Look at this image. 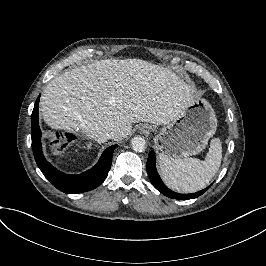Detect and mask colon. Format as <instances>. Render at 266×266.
<instances>
[{
    "label": "colon",
    "instance_id": "obj_1",
    "mask_svg": "<svg viewBox=\"0 0 266 266\" xmlns=\"http://www.w3.org/2000/svg\"><path fill=\"white\" fill-rule=\"evenodd\" d=\"M63 143H64V139L62 135H57L55 137V142L52 143V146H56L57 150H63Z\"/></svg>",
    "mask_w": 266,
    "mask_h": 266
}]
</instances>
